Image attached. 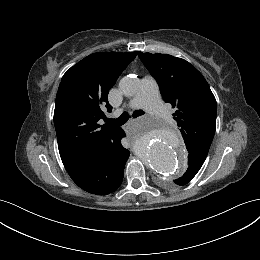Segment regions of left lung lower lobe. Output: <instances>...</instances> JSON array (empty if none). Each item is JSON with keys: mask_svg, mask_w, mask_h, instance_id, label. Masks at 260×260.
I'll return each mask as SVG.
<instances>
[{"mask_svg": "<svg viewBox=\"0 0 260 260\" xmlns=\"http://www.w3.org/2000/svg\"><path fill=\"white\" fill-rule=\"evenodd\" d=\"M203 163L204 162L196 156H188L187 171L181 178L174 180V183L177 185H185L188 182H190L193 179V177L197 174V172L200 170Z\"/></svg>", "mask_w": 260, "mask_h": 260, "instance_id": "obj_1", "label": "left lung lower lobe"}]
</instances>
